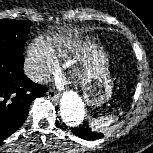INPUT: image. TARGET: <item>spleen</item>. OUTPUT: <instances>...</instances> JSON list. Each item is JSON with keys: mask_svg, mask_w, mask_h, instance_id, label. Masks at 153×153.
Masks as SVG:
<instances>
[{"mask_svg": "<svg viewBox=\"0 0 153 153\" xmlns=\"http://www.w3.org/2000/svg\"><path fill=\"white\" fill-rule=\"evenodd\" d=\"M117 120L116 116H105L99 118H91L90 126L95 131L103 130L104 128L110 126L113 122Z\"/></svg>", "mask_w": 153, "mask_h": 153, "instance_id": "obj_1", "label": "spleen"}]
</instances>
